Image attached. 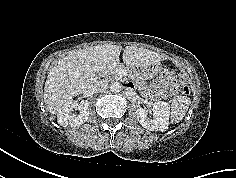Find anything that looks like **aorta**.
<instances>
[{
	"label": "aorta",
	"instance_id": "aorta-1",
	"mask_svg": "<svg viewBox=\"0 0 236 178\" xmlns=\"http://www.w3.org/2000/svg\"><path fill=\"white\" fill-rule=\"evenodd\" d=\"M121 87L122 86L120 85L119 82H114V83L111 84L110 89H111L112 92L118 93V92H120Z\"/></svg>",
	"mask_w": 236,
	"mask_h": 178
}]
</instances>
